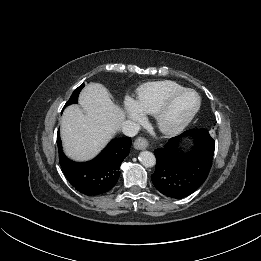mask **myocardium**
<instances>
[{
	"label": "myocardium",
	"instance_id": "obj_1",
	"mask_svg": "<svg viewBox=\"0 0 261 261\" xmlns=\"http://www.w3.org/2000/svg\"><path fill=\"white\" fill-rule=\"evenodd\" d=\"M194 93L197 97V104L195 108L182 120L176 123H168L167 115L177 98L185 93ZM201 107V96L197 91L191 88H183L171 94L161 105L155 114V122L159 131L165 135H175L183 131L195 118Z\"/></svg>",
	"mask_w": 261,
	"mask_h": 261
}]
</instances>
